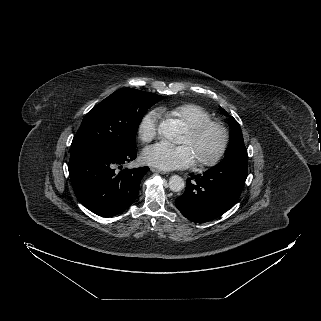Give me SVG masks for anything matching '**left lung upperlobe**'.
<instances>
[{"mask_svg": "<svg viewBox=\"0 0 321 321\" xmlns=\"http://www.w3.org/2000/svg\"><path fill=\"white\" fill-rule=\"evenodd\" d=\"M221 112L225 115L227 114L226 111L222 108ZM230 126L232 128V137L223 160H230L235 158L247 159V150L244 144L240 125L234 118H231Z\"/></svg>", "mask_w": 321, "mask_h": 321, "instance_id": "obj_1", "label": "left lung upper lobe"}]
</instances>
